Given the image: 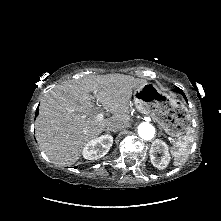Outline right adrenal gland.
Returning <instances> with one entry per match:
<instances>
[{
    "label": "right adrenal gland",
    "instance_id": "right-adrenal-gland-1",
    "mask_svg": "<svg viewBox=\"0 0 221 221\" xmlns=\"http://www.w3.org/2000/svg\"><path fill=\"white\" fill-rule=\"evenodd\" d=\"M107 133H110V131L106 130Z\"/></svg>",
    "mask_w": 221,
    "mask_h": 221
}]
</instances>
